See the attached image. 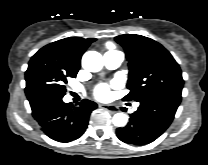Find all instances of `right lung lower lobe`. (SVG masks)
Returning a JSON list of instances; mask_svg holds the SVG:
<instances>
[{
    "label": "right lung lower lobe",
    "instance_id": "98d812e1",
    "mask_svg": "<svg viewBox=\"0 0 208 165\" xmlns=\"http://www.w3.org/2000/svg\"><path fill=\"white\" fill-rule=\"evenodd\" d=\"M96 108L97 104L87 99L75 107L72 103H64L62 98H56L32 108V115L51 139L70 142L85 132L90 113Z\"/></svg>",
    "mask_w": 208,
    "mask_h": 165
}]
</instances>
